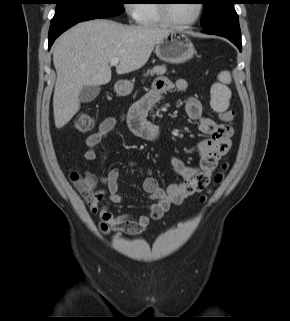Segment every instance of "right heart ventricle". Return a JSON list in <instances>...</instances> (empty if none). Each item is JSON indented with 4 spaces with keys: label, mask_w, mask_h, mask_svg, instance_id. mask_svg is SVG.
<instances>
[{
    "label": "right heart ventricle",
    "mask_w": 290,
    "mask_h": 321,
    "mask_svg": "<svg viewBox=\"0 0 290 321\" xmlns=\"http://www.w3.org/2000/svg\"><path fill=\"white\" fill-rule=\"evenodd\" d=\"M136 5L137 22L141 25H161L164 23L157 8V0H140Z\"/></svg>",
    "instance_id": "1"
}]
</instances>
